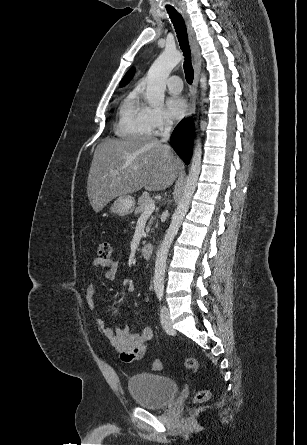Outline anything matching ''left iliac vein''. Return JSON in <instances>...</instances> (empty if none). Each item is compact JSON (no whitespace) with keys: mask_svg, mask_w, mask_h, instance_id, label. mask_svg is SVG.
Listing matches in <instances>:
<instances>
[{"mask_svg":"<svg viewBox=\"0 0 307 445\" xmlns=\"http://www.w3.org/2000/svg\"><path fill=\"white\" fill-rule=\"evenodd\" d=\"M160 320L163 329L168 334H174L175 330L172 327V322L170 320V312L166 306H163L160 313Z\"/></svg>","mask_w":307,"mask_h":445,"instance_id":"1","label":"left iliac vein"}]
</instances>
